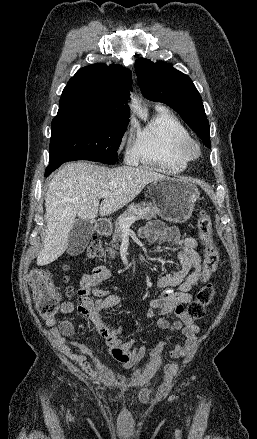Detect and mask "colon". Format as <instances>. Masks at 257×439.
I'll use <instances>...</instances> for the list:
<instances>
[{"label":"colon","instance_id":"5ec220e1","mask_svg":"<svg viewBox=\"0 0 257 439\" xmlns=\"http://www.w3.org/2000/svg\"><path fill=\"white\" fill-rule=\"evenodd\" d=\"M197 228L203 246L202 281L206 282L215 273L219 263V251L213 240L212 221L206 211H201L197 220ZM101 254L102 247L100 241L93 239L86 249V256L88 258H97ZM30 286L37 300L40 314L46 318L54 316L58 310V294L50 276L42 269H32L30 273ZM65 294L68 297L78 296L80 303L85 305V307H90L95 302L93 295L87 294L81 289L76 290L71 286L66 287ZM213 296V285L207 284L203 286L197 293L196 298L189 303L185 310L187 320L194 322L202 318Z\"/></svg>","mask_w":257,"mask_h":439}]
</instances>
